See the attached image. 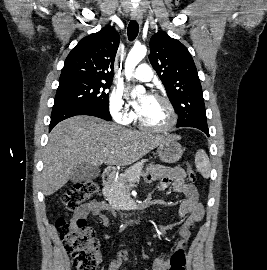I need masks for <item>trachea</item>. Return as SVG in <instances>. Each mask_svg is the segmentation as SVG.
Returning a JSON list of instances; mask_svg holds the SVG:
<instances>
[{
	"instance_id": "1",
	"label": "trachea",
	"mask_w": 267,
	"mask_h": 270,
	"mask_svg": "<svg viewBox=\"0 0 267 270\" xmlns=\"http://www.w3.org/2000/svg\"><path fill=\"white\" fill-rule=\"evenodd\" d=\"M139 32V25L135 20H131L129 25H128V29H127V34H128V38L130 41H133Z\"/></svg>"
}]
</instances>
